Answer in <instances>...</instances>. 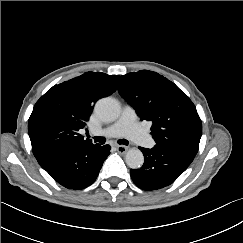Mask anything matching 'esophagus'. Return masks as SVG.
Segmentation results:
<instances>
[{
	"instance_id": "obj_1",
	"label": "esophagus",
	"mask_w": 243,
	"mask_h": 243,
	"mask_svg": "<svg viewBox=\"0 0 243 243\" xmlns=\"http://www.w3.org/2000/svg\"><path fill=\"white\" fill-rule=\"evenodd\" d=\"M115 148L120 153H125L127 151V147L123 145H116Z\"/></svg>"
}]
</instances>
